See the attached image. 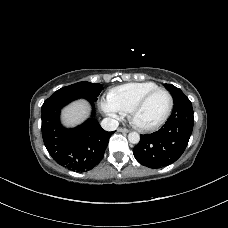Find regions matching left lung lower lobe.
<instances>
[{
    "instance_id": "1",
    "label": "left lung lower lobe",
    "mask_w": 228,
    "mask_h": 228,
    "mask_svg": "<svg viewBox=\"0 0 228 228\" xmlns=\"http://www.w3.org/2000/svg\"><path fill=\"white\" fill-rule=\"evenodd\" d=\"M193 122L192 104L186 96L174 102L172 114L160 130L140 135V142L133 149L134 157L154 169L172 164L186 149Z\"/></svg>"
}]
</instances>
